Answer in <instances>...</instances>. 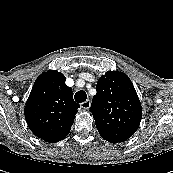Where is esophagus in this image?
I'll use <instances>...</instances> for the list:
<instances>
[{
  "label": "esophagus",
  "instance_id": "esophagus-1",
  "mask_svg": "<svg viewBox=\"0 0 173 173\" xmlns=\"http://www.w3.org/2000/svg\"><path fill=\"white\" fill-rule=\"evenodd\" d=\"M91 106V101L90 100H86L84 102L81 103V107L85 110H88Z\"/></svg>",
  "mask_w": 173,
  "mask_h": 173
}]
</instances>
